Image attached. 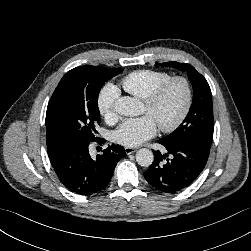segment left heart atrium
I'll return each mask as SVG.
<instances>
[{
    "label": "left heart atrium",
    "mask_w": 251,
    "mask_h": 251,
    "mask_svg": "<svg viewBox=\"0 0 251 251\" xmlns=\"http://www.w3.org/2000/svg\"><path fill=\"white\" fill-rule=\"evenodd\" d=\"M157 131L154 119L146 114L139 118H130L122 122L114 133V140L126 147H136L152 138Z\"/></svg>",
    "instance_id": "1"
}]
</instances>
